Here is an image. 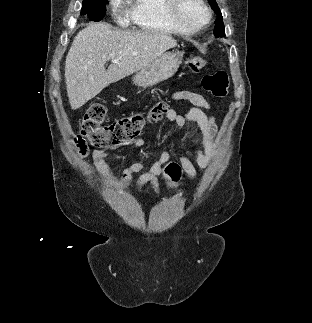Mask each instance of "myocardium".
Returning a JSON list of instances; mask_svg holds the SVG:
<instances>
[{"label":"myocardium","instance_id":"myocardium-1","mask_svg":"<svg viewBox=\"0 0 312 323\" xmlns=\"http://www.w3.org/2000/svg\"><path fill=\"white\" fill-rule=\"evenodd\" d=\"M168 6L166 14L169 15L174 25L179 23L181 31H205V25H209L211 17L214 16V11L210 10L204 0H169ZM186 8H194L202 14L198 18H186L182 14Z\"/></svg>","mask_w":312,"mask_h":323}]
</instances>
